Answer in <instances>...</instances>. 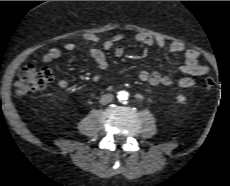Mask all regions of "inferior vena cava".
Listing matches in <instances>:
<instances>
[{"instance_id":"1","label":"inferior vena cava","mask_w":230,"mask_h":186,"mask_svg":"<svg viewBox=\"0 0 230 186\" xmlns=\"http://www.w3.org/2000/svg\"><path fill=\"white\" fill-rule=\"evenodd\" d=\"M114 96L112 94H104L101 98H100V103L105 105L110 103L113 100Z\"/></svg>"}]
</instances>
